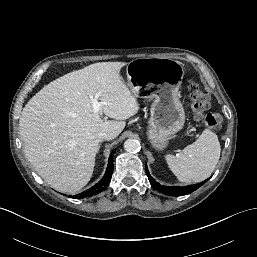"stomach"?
Segmentation results:
<instances>
[{
	"label": "stomach",
	"mask_w": 257,
	"mask_h": 257,
	"mask_svg": "<svg viewBox=\"0 0 257 257\" xmlns=\"http://www.w3.org/2000/svg\"><path fill=\"white\" fill-rule=\"evenodd\" d=\"M126 74L134 95L138 96L142 90L150 92L148 97L153 103L146 134L154 148H165L169 137L179 132L185 122L179 99L184 75L182 64L168 58L134 59L127 64Z\"/></svg>",
	"instance_id": "1"
}]
</instances>
